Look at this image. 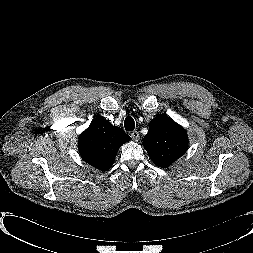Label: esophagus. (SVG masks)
Listing matches in <instances>:
<instances>
[{"instance_id":"esophagus-1","label":"esophagus","mask_w":253,"mask_h":253,"mask_svg":"<svg viewBox=\"0 0 253 253\" xmlns=\"http://www.w3.org/2000/svg\"><path fill=\"white\" fill-rule=\"evenodd\" d=\"M131 138L134 140V141H138L139 140V133L137 131H133L131 133Z\"/></svg>"}]
</instances>
